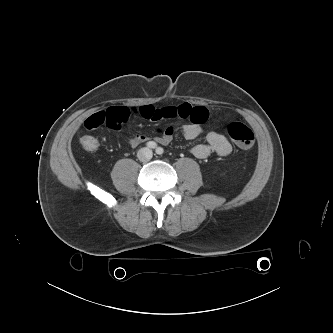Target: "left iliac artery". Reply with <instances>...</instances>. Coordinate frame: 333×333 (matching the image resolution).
<instances>
[{
	"mask_svg": "<svg viewBox=\"0 0 333 333\" xmlns=\"http://www.w3.org/2000/svg\"><path fill=\"white\" fill-rule=\"evenodd\" d=\"M163 152H164V150H163L162 147H157V148H156V153H157V154L161 155V154H163Z\"/></svg>",
	"mask_w": 333,
	"mask_h": 333,
	"instance_id": "44dca946",
	"label": "left iliac artery"
}]
</instances>
